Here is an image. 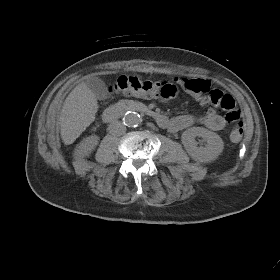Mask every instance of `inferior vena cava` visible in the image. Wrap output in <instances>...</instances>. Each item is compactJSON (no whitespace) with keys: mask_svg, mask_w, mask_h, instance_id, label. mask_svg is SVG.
Returning a JSON list of instances; mask_svg holds the SVG:
<instances>
[{"mask_svg":"<svg viewBox=\"0 0 280 280\" xmlns=\"http://www.w3.org/2000/svg\"><path fill=\"white\" fill-rule=\"evenodd\" d=\"M109 132L115 136H121L126 132V126L120 121H113L109 125Z\"/></svg>","mask_w":280,"mask_h":280,"instance_id":"obj_1","label":"inferior vena cava"}]
</instances>
